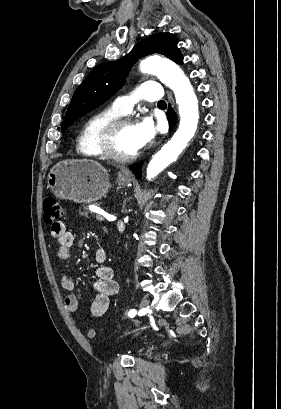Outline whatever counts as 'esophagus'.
Listing matches in <instances>:
<instances>
[{
	"instance_id": "1",
	"label": "esophagus",
	"mask_w": 281,
	"mask_h": 409,
	"mask_svg": "<svg viewBox=\"0 0 281 409\" xmlns=\"http://www.w3.org/2000/svg\"><path fill=\"white\" fill-rule=\"evenodd\" d=\"M167 95H168V100H169L170 104L173 106L174 105V99H173V96H172L171 92L167 91Z\"/></svg>"
}]
</instances>
